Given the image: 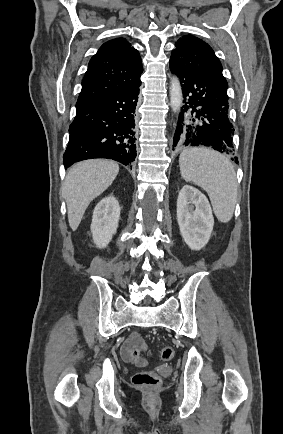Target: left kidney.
Here are the masks:
<instances>
[{
	"label": "left kidney",
	"mask_w": 283,
	"mask_h": 434,
	"mask_svg": "<svg viewBox=\"0 0 283 434\" xmlns=\"http://www.w3.org/2000/svg\"><path fill=\"white\" fill-rule=\"evenodd\" d=\"M177 221L185 243L192 250L202 249L209 241L214 218L206 196L185 185L177 199Z\"/></svg>",
	"instance_id": "5707ae66"
}]
</instances>
